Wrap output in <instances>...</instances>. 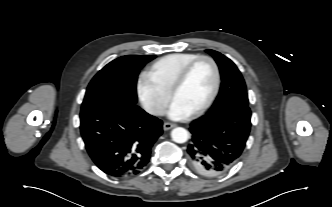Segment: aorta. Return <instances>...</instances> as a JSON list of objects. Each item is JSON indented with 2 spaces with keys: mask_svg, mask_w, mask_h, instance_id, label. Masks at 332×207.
<instances>
[{
  "mask_svg": "<svg viewBox=\"0 0 332 207\" xmlns=\"http://www.w3.org/2000/svg\"><path fill=\"white\" fill-rule=\"evenodd\" d=\"M171 137L176 143H185L188 140L189 133L186 129L177 127L171 131Z\"/></svg>",
  "mask_w": 332,
  "mask_h": 207,
  "instance_id": "aorta-1",
  "label": "aorta"
}]
</instances>
